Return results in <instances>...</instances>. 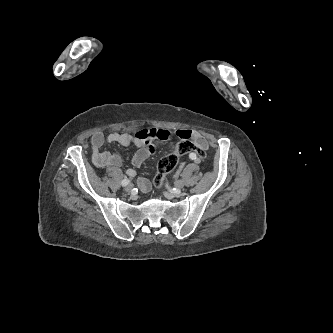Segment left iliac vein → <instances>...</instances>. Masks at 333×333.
Segmentation results:
<instances>
[{
	"instance_id": "obj_1",
	"label": "left iliac vein",
	"mask_w": 333,
	"mask_h": 333,
	"mask_svg": "<svg viewBox=\"0 0 333 333\" xmlns=\"http://www.w3.org/2000/svg\"><path fill=\"white\" fill-rule=\"evenodd\" d=\"M174 185H175L176 188L181 189V188L184 187V182L182 180H176L174 182Z\"/></svg>"
}]
</instances>
